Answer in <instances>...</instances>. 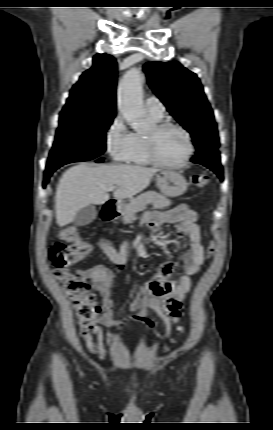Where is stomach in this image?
Instances as JSON below:
<instances>
[{
	"label": "stomach",
	"mask_w": 273,
	"mask_h": 430,
	"mask_svg": "<svg viewBox=\"0 0 273 430\" xmlns=\"http://www.w3.org/2000/svg\"><path fill=\"white\" fill-rule=\"evenodd\" d=\"M157 186L163 195L167 197H178L187 190L186 179L176 171L164 170L157 175ZM125 205L122 204V210Z\"/></svg>",
	"instance_id": "obj_1"
}]
</instances>
